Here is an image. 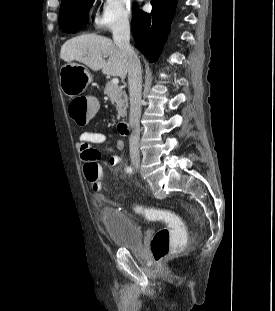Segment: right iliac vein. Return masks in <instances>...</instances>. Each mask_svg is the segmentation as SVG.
Masks as SVG:
<instances>
[{
    "mask_svg": "<svg viewBox=\"0 0 275 311\" xmlns=\"http://www.w3.org/2000/svg\"><path fill=\"white\" fill-rule=\"evenodd\" d=\"M132 164L135 166V167H138L140 165V159L139 158H133L132 159Z\"/></svg>",
    "mask_w": 275,
    "mask_h": 311,
    "instance_id": "right-iliac-vein-1",
    "label": "right iliac vein"
}]
</instances>
